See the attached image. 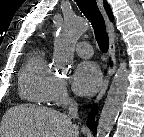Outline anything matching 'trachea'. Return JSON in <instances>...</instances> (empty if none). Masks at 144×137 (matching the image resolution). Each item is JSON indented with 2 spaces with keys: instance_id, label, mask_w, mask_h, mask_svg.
I'll return each mask as SVG.
<instances>
[{
  "instance_id": "3493384b",
  "label": "trachea",
  "mask_w": 144,
  "mask_h": 137,
  "mask_svg": "<svg viewBox=\"0 0 144 137\" xmlns=\"http://www.w3.org/2000/svg\"><path fill=\"white\" fill-rule=\"evenodd\" d=\"M82 13L91 22L97 43L102 52L106 53L109 48V38L106 32L105 21L100 13L95 0H75Z\"/></svg>"
}]
</instances>
